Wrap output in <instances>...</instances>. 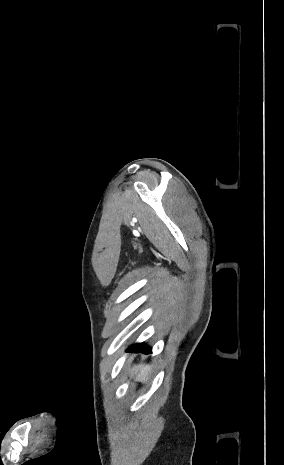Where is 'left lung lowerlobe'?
Instances as JSON below:
<instances>
[{
	"label": "left lung lower lobe",
	"mask_w": 284,
	"mask_h": 465,
	"mask_svg": "<svg viewBox=\"0 0 284 465\" xmlns=\"http://www.w3.org/2000/svg\"><path fill=\"white\" fill-rule=\"evenodd\" d=\"M129 352H144V353H150L151 348L143 343L140 344H135L131 346L128 350Z\"/></svg>",
	"instance_id": "1"
}]
</instances>
